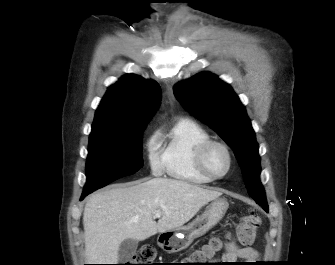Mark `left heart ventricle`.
I'll return each mask as SVG.
<instances>
[{
  "mask_svg": "<svg viewBox=\"0 0 335 265\" xmlns=\"http://www.w3.org/2000/svg\"><path fill=\"white\" fill-rule=\"evenodd\" d=\"M206 163L208 168L217 175L224 173L228 166V158L225 151L220 147H213L208 152Z\"/></svg>",
  "mask_w": 335,
  "mask_h": 265,
  "instance_id": "1",
  "label": "left heart ventricle"
}]
</instances>
